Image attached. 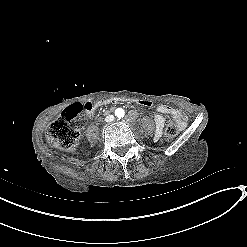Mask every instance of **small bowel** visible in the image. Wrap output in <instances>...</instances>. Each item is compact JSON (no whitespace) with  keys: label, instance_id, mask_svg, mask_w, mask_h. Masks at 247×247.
Returning a JSON list of instances; mask_svg holds the SVG:
<instances>
[{"label":"small bowel","instance_id":"small-bowel-1","mask_svg":"<svg viewBox=\"0 0 247 247\" xmlns=\"http://www.w3.org/2000/svg\"><path fill=\"white\" fill-rule=\"evenodd\" d=\"M156 111H157V114L154 117V122H155L157 135L161 134L164 128L165 122L167 118L169 117L175 120L178 123L179 127H183L185 125V117L181 113V111L177 109L170 108L165 105H158L156 107Z\"/></svg>","mask_w":247,"mask_h":247}]
</instances>
